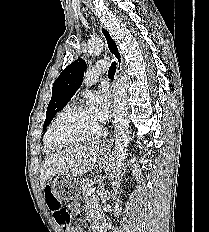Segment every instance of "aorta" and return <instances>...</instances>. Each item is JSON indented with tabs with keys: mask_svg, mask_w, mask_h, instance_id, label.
<instances>
[{
	"mask_svg": "<svg viewBox=\"0 0 209 232\" xmlns=\"http://www.w3.org/2000/svg\"><path fill=\"white\" fill-rule=\"evenodd\" d=\"M104 48L101 38H92L88 42V53L99 55ZM127 76L122 74L114 84V139L115 156L112 162L114 177L117 179L123 169L129 143V122L127 108Z\"/></svg>",
	"mask_w": 209,
	"mask_h": 232,
	"instance_id": "obj_1",
	"label": "aorta"
}]
</instances>
